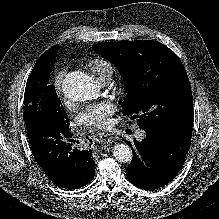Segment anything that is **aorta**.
I'll return each instance as SVG.
<instances>
[{"instance_id":"aorta-1","label":"aorta","mask_w":219,"mask_h":219,"mask_svg":"<svg viewBox=\"0 0 219 219\" xmlns=\"http://www.w3.org/2000/svg\"><path fill=\"white\" fill-rule=\"evenodd\" d=\"M64 94L73 101H86L97 94L94 80L87 74L75 72L67 75L63 82ZM113 156L120 163H128L132 160V150L125 143H118L113 148Z\"/></svg>"}]
</instances>
